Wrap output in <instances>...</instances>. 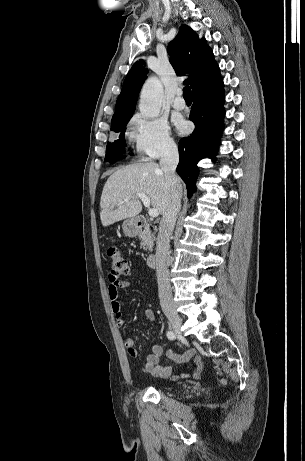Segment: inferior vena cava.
I'll return each instance as SVG.
<instances>
[{"mask_svg": "<svg viewBox=\"0 0 305 461\" xmlns=\"http://www.w3.org/2000/svg\"><path fill=\"white\" fill-rule=\"evenodd\" d=\"M178 162L179 153L176 144H167L161 154L160 167L164 172L167 184L171 188V195L168 207L160 222L156 242V273L158 293L162 309L173 306L168 260L170 235L174 229L177 214L181 209L182 192L177 188L179 180L175 173Z\"/></svg>", "mask_w": 305, "mask_h": 461, "instance_id": "602c4592", "label": "inferior vena cava"}]
</instances>
